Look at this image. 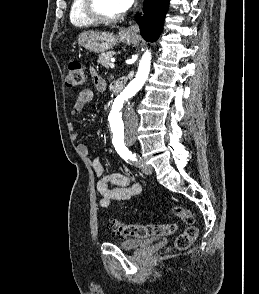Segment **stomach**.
<instances>
[{
	"label": "stomach",
	"instance_id": "1",
	"mask_svg": "<svg viewBox=\"0 0 259 294\" xmlns=\"http://www.w3.org/2000/svg\"><path fill=\"white\" fill-rule=\"evenodd\" d=\"M135 36L124 31L118 34L109 32L84 31L78 36V44L85 49L95 52L104 53L112 49L118 42L132 43Z\"/></svg>",
	"mask_w": 259,
	"mask_h": 294
}]
</instances>
